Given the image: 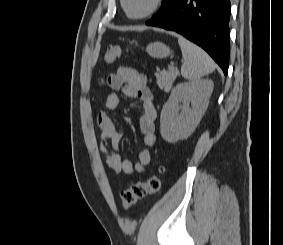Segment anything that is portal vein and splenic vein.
I'll use <instances>...</instances> for the list:
<instances>
[{"label": "portal vein and splenic vein", "mask_w": 283, "mask_h": 245, "mask_svg": "<svg viewBox=\"0 0 283 245\" xmlns=\"http://www.w3.org/2000/svg\"><path fill=\"white\" fill-rule=\"evenodd\" d=\"M170 69H171V70H174L175 68H174V66H171Z\"/></svg>", "instance_id": "portal-vein-and-splenic-vein-1"}]
</instances>
